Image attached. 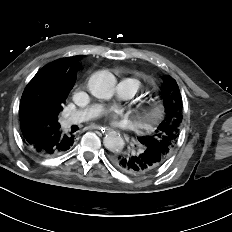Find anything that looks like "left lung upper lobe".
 Here are the masks:
<instances>
[{
	"label": "left lung upper lobe",
	"instance_id": "5c2ea615",
	"mask_svg": "<svg viewBox=\"0 0 232 232\" xmlns=\"http://www.w3.org/2000/svg\"><path fill=\"white\" fill-rule=\"evenodd\" d=\"M165 108V117L152 135L138 138L141 147L159 151L166 159L174 146L180 133L183 119V102L176 81L167 76L160 92Z\"/></svg>",
	"mask_w": 232,
	"mask_h": 232
}]
</instances>
